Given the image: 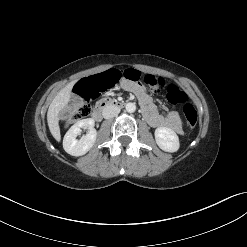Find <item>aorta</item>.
Here are the masks:
<instances>
[{
	"instance_id": "aorta-1",
	"label": "aorta",
	"mask_w": 247,
	"mask_h": 247,
	"mask_svg": "<svg viewBox=\"0 0 247 247\" xmlns=\"http://www.w3.org/2000/svg\"><path fill=\"white\" fill-rule=\"evenodd\" d=\"M136 110V105L134 103H127L126 104V111L128 113H133Z\"/></svg>"
}]
</instances>
